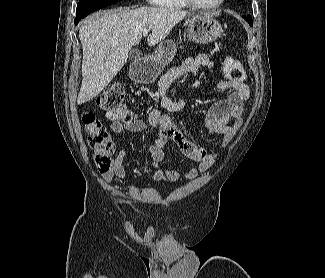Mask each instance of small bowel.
Segmentation results:
<instances>
[{
    "label": "small bowel",
    "mask_w": 325,
    "mask_h": 278,
    "mask_svg": "<svg viewBox=\"0 0 325 278\" xmlns=\"http://www.w3.org/2000/svg\"><path fill=\"white\" fill-rule=\"evenodd\" d=\"M200 68H206L209 75L214 73V63L206 54H199L195 57H187L179 66L172 68L159 81V96L162 108L169 113L183 111L189 99L182 98L173 100L168 96L170 84L183 77L186 74L197 76ZM210 82L207 79L199 82L196 92L202 91ZM219 90H230L229 95L222 100L214 102L205 115L206 127L212 134H219L222 139L218 145L219 148L227 146L234 138L237 130L242 125L243 104L248 100L250 92L246 84L234 83L229 80L220 81L216 84ZM148 127L157 130V139L155 144L149 148L152 158V167L154 181H171L177 182L182 180H192L199 173H205L209 170L214 161L215 150H207L203 146L190 141L178 128L174 119L159 109H153L148 115V121L134 119L127 123H111V130L116 133L132 132L144 133ZM168 141H173L178 149L190 160L198 163V167H190L187 171L181 173L173 170L164 164L165 148ZM127 156V150H120L113 158L110 168L102 174L105 181L109 182L114 178L125 179L126 173L123 166Z\"/></svg>",
    "instance_id": "obj_1"
}]
</instances>
